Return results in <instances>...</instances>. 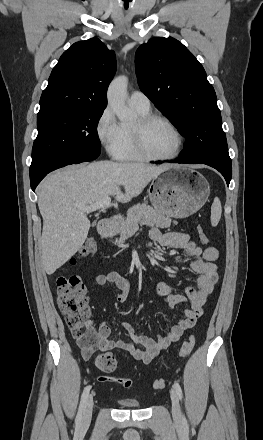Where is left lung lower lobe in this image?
Wrapping results in <instances>:
<instances>
[{
    "mask_svg": "<svg viewBox=\"0 0 263 440\" xmlns=\"http://www.w3.org/2000/svg\"><path fill=\"white\" fill-rule=\"evenodd\" d=\"M173 163H188L185 159L180 157L179 159L171 161ZM157 164L162 162H156ZM190 164H197V163H190ZM199 164H206L209 165L215 169H217L225 178L227 185L229 186L231 177H232V163H226V162H217V161H207V162H200Z\"/></svg>",
    "mask_w": 263,
    "mask_h": 440,
    "instance_id": "left-lung-lower-lobe-1",
    "label": "left lung lower lobe"
}]
</instances>
